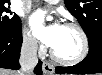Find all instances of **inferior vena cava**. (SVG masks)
I'll return each instance as SVG.
<instances>
[{
  "label": "inferior vena cava",
  "mask_w": 102,
  "mask_h": 75,
  "mask_svg": "<svg viewBox=\"0 0 102 75\" xmlns=\"http://www.w3.org/2000/svg\"><path fill=\"white\" fill-rule=\"evenodd\" d=\"M37 41L26 38L23 41L19 63L21 66L20 75H30L32 69L37 65Z\"/></svg>",
  "instance_id": "1"
}]
</instances>
